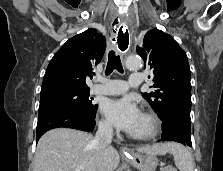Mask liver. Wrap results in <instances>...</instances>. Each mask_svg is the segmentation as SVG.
<instances>
[{"label":"liver","mask_w":223,"mask_h":171,"mask_svg":"<svg viewBox=\"0 0 223 171\" xmlns=\"http://www.w3.org/2000/svg\"><path fill=\"white\" fill-rule=\"evenodd\" d=\"M171 143L143 146L139 152L152 155H165L171 152ZM105 171H114L120 162L118 151L106 147L101 154L94 137L87 133L69 128H56L46 132L39 140L33 161V171H96L99 163Z\"/></svg>","instance_id":"1"}]
</instances>
